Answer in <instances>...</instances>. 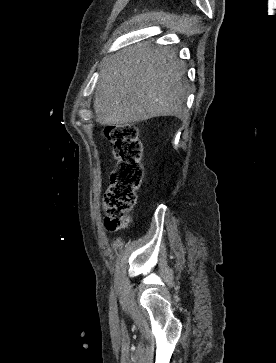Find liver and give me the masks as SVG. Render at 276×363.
I'll return each instance as SVG.
<instances>
[{
	"mask_svg": "<svg viewBox=\"0 0 276 363\" xmlns=\"http://www.w3.org/2000/svg\"><path fill=\"white\" fill-rule=\"evenodd\" d=\"M185 63L168 47L130 46L101 69L94 111L101 125L138 123L153 117L185 115Z\"/></svg>",
	"mask_w": 276,
	"mask_h": 363,
	"instance_id": "6515ba94",
	"label": "liver"
}]
</instances>
